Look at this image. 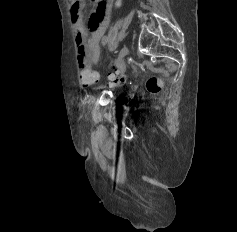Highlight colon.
<instances>
[{"instance_id":"obj_1","label":"colon","mask_w":237,"mask_h":232,"mask_svg":"<svg viewBox=\"0 0 237 232\" xmlns=\"http://www.w3.org/2000/svg\"><path fill=\"white\" fill-rule=\"evenodd\" d=\"M121 3H122V0H116L115 7L116 8L120 7ZM79 78H80V83L83 86H89L98 81L99 75L97 72L93 71L90 67H88L87 65H84L82 66V69L80 71ZM124 79H125L124 69L120 67V68H117L116 71L109 76V84L111 85L119 84L123 82ZM146 86H147V89L151 93H157L162 88V82L160 79L156 77H150L147 80Z\"/></svg>"}]
</instances>
